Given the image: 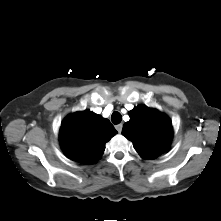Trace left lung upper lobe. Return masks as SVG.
Returning <instances> with one entry per match:
<instances>
[{"mask_svg":"<svg viewBox=\"0 0 221 221\" xmlns=\"http://www.w3.org/2000/svg\"><path fill=\"white\" fill-rule=\"evenodd\" d=\"M130 120L123 125L122 134L133 143L145 159H155L170 147L173 129L170 119L145 105L129 111Z\"/></svg>","mask_w":221,"mask_h":221,"instance_id":"obj_1","label":"left lung upper lobe"}]
</instances>
